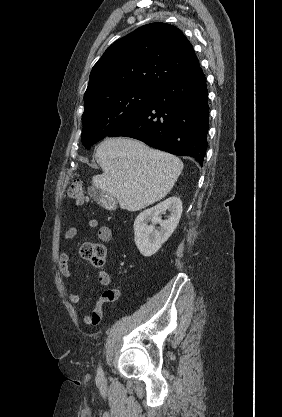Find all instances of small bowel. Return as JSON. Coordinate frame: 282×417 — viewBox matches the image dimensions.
I'll return each instance as SVG.
<instances>
[{
	"label": "small bowel",
	"mask_w": 282,
	"mask_h": 417,
	"mask_svg": "<svg viewBox=\"0 0 282 417\" xmlns=\"http://www.w3.org/2000/svg\"><path fill=\"white\" fill-rule=\"evenodd\" d=\"M87 227L89 229L98 228V236L102 241L107 242V241H110L112 239V231H111L110 227H108V226L98 227V222L95 219L89 220L87 222ZM77 232H78V229L76 227H70L65 232L64 237H65L66 240H71L77 235ZM58 268H59V271L61 272V274L65 278L70 279L72 277V271H71L70 266H69V254H68L67 251H63L59 255ZM98 280H99V283L102 286H105V287L108 286L110 284V281H111L110 275L104 270H100L98 272ZM67 295H68L69 300L72 303H78L79 300H80V296L76 292L69 291ZM120 296H121L120 289H117V288L106 289L102 293V295L100 296L95 309L91 313H89L85 316V319H84L85 323L89 326L98 325L99 321H97L96 318H95V313H94L95 310L100 309L101 310V317H102V306L105 303L114 302V301L118 300L120 298Z\"/></svg>",
	"instance_id": "small-bowel-1"
}]
</instances>
